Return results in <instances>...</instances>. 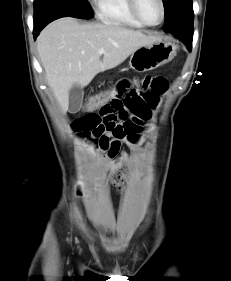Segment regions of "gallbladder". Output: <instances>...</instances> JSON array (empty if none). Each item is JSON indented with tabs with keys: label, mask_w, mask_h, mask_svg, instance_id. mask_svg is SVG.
Instances as JSON below:
<instances>
[{
	"label": "gallbladder",
	"mask_w": 231,
	"mask_h": 281,
	"mask_svg": "<svg viewBox=\"0 0 231 281\" xmlns=\"http://www.w3.org/2000/svg\"><path fill=\"white\" fill-rule=\"evenodd\" d=\"M83 89L79 85H73L69 90V111L76 113L81 108L83 100Z\"/></svg>",
	"instance_id": "gallbladder-1"
}]
</instances>
